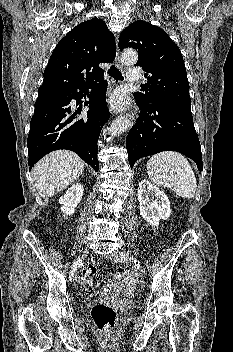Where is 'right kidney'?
<instances>
[{
	"label": "right kidney",
	"instance_id": "obj_1",
	"mask_svg": "<svg viewBox=\"0 0 233 352\" xmlns=\"http://www.w3.org/2000/svg\"><path fill=\"white\" fill-rule=\"evenodd\" d=\"M83 191V185L76 183L67 190L64 196L60 197L59 203L62 205L61 211L64 213V218L74 213L82 199Z\"/></svg>",
	"mask_w": 233,
	"mask_h": 352
}]
</instances>
